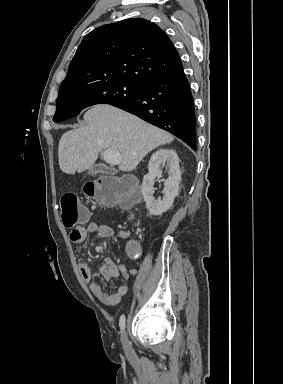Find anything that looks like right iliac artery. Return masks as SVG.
<instances>
[{
    "label": "right iliac artery",
    "mask_w": 283,
    "mask_h": 384,
    "mask_svg": "<svg viewBox=\"0 0 283 384\" xmlns=\"http://www.w3.org/2000/svg\"><path fill=\"white\" fill-rule=\"evenodd\" d=\"M119 326L121 331H124L125 329V316L121 315L120 320H119Z\"/></svg>",
    "instance_id": "1"
}]
</instances>
